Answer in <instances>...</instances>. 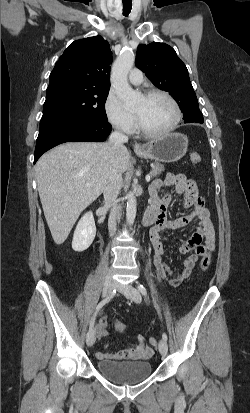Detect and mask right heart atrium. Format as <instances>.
<instances>
[{"instance_id": "obj_1", "label": "right heart atrium", "mask_w": 250, "mask_h": 413, "mask_svg": "<svg viewBox=\"0 0 250 413\" xmlns=\"http://www.w3.org/2000/svg\"><path fill=\"white\" fill-rule=\"evenodd\" d=\"M105 116L110 125L116 130L132 134L136 129V117L128 111L122 104L116 93L110 91L104 102Z\"/></svg>"}]
</instances>
